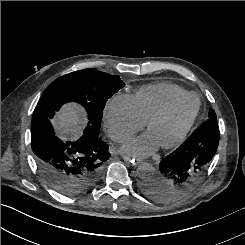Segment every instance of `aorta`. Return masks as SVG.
<instances>
[{
  "label": "aorta",
  "instance_id": "obj_1",
  "mask_svg": "<svg viewBox=\"0 0 245 245\" xmlns=\"http://www.w3.org/2000/svg\"><path fill=\"white\" fill-rule=\"evenodd\" d=\"M138 175L141 179L150 180L155 174V169L150 163H142L137 168Z\"/></svg>",
  "mask_w": 245,
  "mask_h": 245
}]
</instances>
